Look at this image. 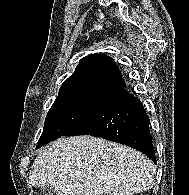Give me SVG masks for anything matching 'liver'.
Listing matches in <instances>:
<instances>
[{"instance_id":"obj_1","label":"liver","mask_w":189,"mask_h":195,"mask_svg":"<svg viewBox=\"0 0 189 195\" xmlns=\"http://www.w3.org/2000/svg\"><path fill=\"white\" fill-rule=\"evenodd\" d=\"M33 187L57 195H133L153 187L156 168L141 152L91 136L60 138L38 152Z\"/></svg>"}]
</instances>
